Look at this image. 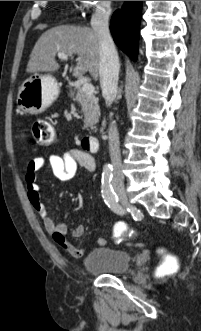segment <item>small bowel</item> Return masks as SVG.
Segmentation results:
<instances>
[{
	"instance_id": "1",
	"label": "small bowel",
	"mask_w": 201,
	"mask_h": 331,
	"mask_svg": "<svg viewBox=\"0 0 201 331\" xmlns=\"http://www.w3.org/2000/svg\"><path fill=\"white\" fill-rule=\"evenodd\" d=\"M46 165L50 166L53 174L58 179L69 180L75 175L78 166L90 172L95 171V160L85 151L66 149L61 154H51L48 158H32L27 163L25 170V183L29 202L35 212L41 217L46 231L52 235L54 241L68 254L76 258L81 257L84 254V249L74 246L66 239V225L63 223H55L41 200L37 178L38 171ZM84 233L85 227L81 224L77 225L72 231V235L76 238L82 237ZM98 243L104 244L105 239L99 238Z\"/></svg>"
}]
</instances>
